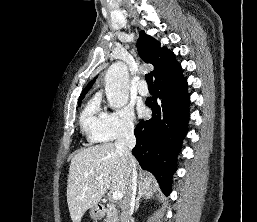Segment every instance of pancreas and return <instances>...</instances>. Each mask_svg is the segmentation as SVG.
Segmentation results:
<instances>
[{
  "instance_id": "1",
  "label": "pancreas",
  "mask_w": 257,
  "mask_h": 222,
  "mask_svg": "<svg viewBox=\"0 0 257 222\" xmlns=\"http://www.w3.org/2000/svg\"><path fill=\"white\" fill-rule=\"evenodd\" d=\"M105 222H119L118 212L113 203L107 205V217Z\"/></svg>"
}]
</instances>
